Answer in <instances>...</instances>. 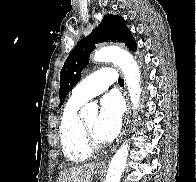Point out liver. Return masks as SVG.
Instances as JSON below:
<instances>
[{"instance_id":"1","label":"liver","mask_w":196,"mask_h":182,"mask_svg":"<svg viewBox=\"0 0 196 182\" xmlns=\"http://www.w3.org/2000/svg\"><path fill=\"white\" fill-rule=\"evenodd\" d=\"M95 163L76 165L60 172L57 182H92Z\"/></svg>"}]
</instances>
